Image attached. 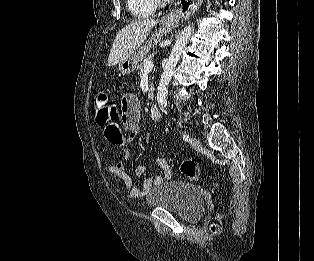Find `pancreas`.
I'll return each mask as SVG.
<instances>
[{"label": "pancreas", "mask_w": 314, "mask_h": 261, "mask_svg": "<svg viewBox=\"0 0 314 261\" xmlns=\"http://www.w3.org/2000/svg\"><path fill=\"white\" fill-rule=\"evenodd\" d=\"M149 45H144L141 50L144 52V55L142 57V59L140 60V62L138 63L137 69H138V75L142 76L144 74V64L147 61H151L152 60V55L150 56H146L147 55V51L149 49ZM148 98L152 99L153 98V84H150V88H149V93H148Z\"/></svg>", "instance_id": "1"}]
</instances>
